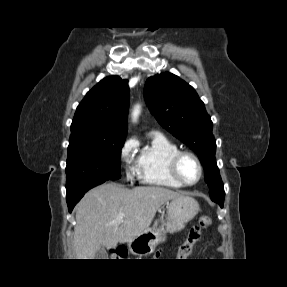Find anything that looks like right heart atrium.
I'll return each mask as SVG.
<instances>
[{
	"instance_id": "right-heart-atrium-1",
	"label": "right heart atrium",
	"mask_w": 287,
	"mask_h": 287,
	"mask_svg": "<svg viewBox=\"0 0 287 287\" xmlns=\"http://www.w3.org/2000/svg\"><path fill=\"white\" fill-rule=\"evenodd\" d=\"M135 148V143L133 140L128 139L126 140L121 148H120V158L123 162H127V160L129 159L130 155L132 154L133 150ZM127 173V177L128 178H132L134 175V172L132 169L127 168L126 170Z\"/></svg>"
}]
</instances>
